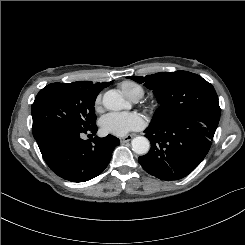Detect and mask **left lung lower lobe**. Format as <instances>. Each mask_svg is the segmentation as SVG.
Here are the masks:
<instances>
[{"label":"left lung lower lobe","mask_w":245,"mask_h":245,"mask_svg":"<svg viewBox=\"0 0 245 245\" xmlns=\"http://www.w3.org/2000/svg\"><path fill=\"white\" fill-rule=\"evenodd\" d=\"M219 119L190 116L144 132L150 151L138 158L142 168L161 180H179L190 174L208 153Z\"/></svg>","instance_id":"left-lung-lower-lobe-1"}]
</instances>
